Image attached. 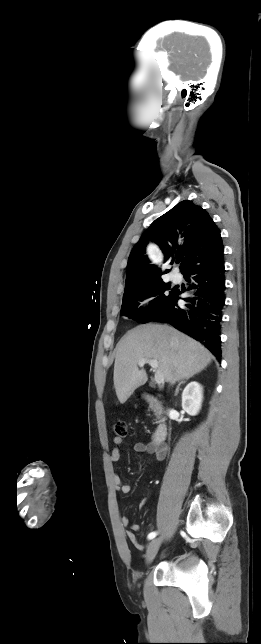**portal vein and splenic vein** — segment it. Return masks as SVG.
<instances>
[{
	"label": "portal vein and splenic vein",
	"mask_w": 261,
	"mask_h": 644,
	"mask_svg": "<svg viewBox=\"0 0 261 644\" xmlns=\"http://www.w3.org/2000/svg\"><path fill=\"white\" fill-rule=\"evenodd\" d=\"M146 363H148L155 371V382L157 384L163 383L164 382V375L158 368V361L155 360V359H140L138 361V365L140 367L144 366Z\"/></svg>",
	"instance_id": "1"
}]
</instances>
